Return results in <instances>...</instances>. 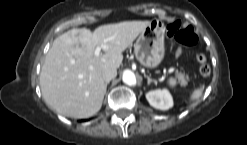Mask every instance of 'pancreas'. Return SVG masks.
<instances>
[{
	"label": "pancreas",
	"mask_w": 247,
	"mask_h": 145,
	"mask_svg": "<svg viewBox=\"0 0 247 145\" xmlns=\"http://www.w3.org/2000/svg\"><path fill=\"white\" fill-rule=\"evenodd\" d=\"M176 77L181 83L186 82L187 76L185 75V73L176 71Z\"/></svg>",
	"instance_id": "obj_1"
}]
</instances>
